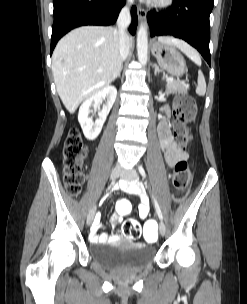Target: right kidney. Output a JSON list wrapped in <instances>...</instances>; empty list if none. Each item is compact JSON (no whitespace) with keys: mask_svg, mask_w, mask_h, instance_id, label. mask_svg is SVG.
Segmentation results:
<instances>
[{"mask_svg":"<svg viewBox=\"0 0 247 304\" xmlns=\"http://www.w3.org/2000/svg\"><path fill=\"white\" fill-rule=\"evenodd\" d=\"M117 96V89L114 86L107 85L99 90L97 93L89 97L87 100L83 102L80 106L78 113V121L83 130L84 136L88 140H94L100 134L103 124L109 114L115 99ZM107 99L106 104L103 106L102 110L98 112L99 118L95 121H92L89 118L90 107L93 106L96 109L100 103Z\"/></svg>","mask_w":247,"mask_h":304,"instance_id":"obj_1","label":"right kidney"}]
</instances>
